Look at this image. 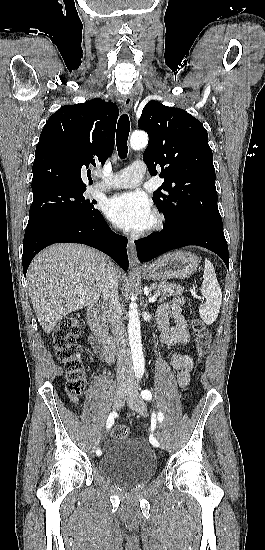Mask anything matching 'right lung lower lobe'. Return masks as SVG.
Segmentation results:
<instances>
[{"label":"right lung lower lobe","instance_id":"1","mask_svg":"<svg viewBox=\"0 0 265 550\" xmlns=\"http://www.w3.org/2000/svg\"><path fill=\"white\" fill-rule=\"evenodd\" d=\"M81 243L109 255L125 271L127 238L115 234L106 224L100 212L90 217H60L27 225L23 241V272L34 256L53 243Z\"/></svg>","mask_w":265,"mask_h":550}]
</instances>
